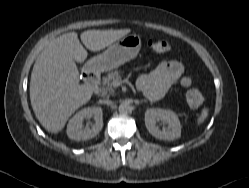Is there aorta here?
Returning <instances> with one entry per match:
<instances>
[{
    "mask_svg": "<svg viewBox=\"0 0 249 188\" xmlns=\"http://www.w3.org/2000/svg\"><path fill=\"white\" fill-rule=\"evenodd\" d=\"M120 113H127L129 111V105L127 103H121L118 107Z\"/></svg>",
    "mask_w": 249,
    "mask_h": 188,
    "instance_id": "762f6f07",
    "label": "aorta"
}]
</instances>
